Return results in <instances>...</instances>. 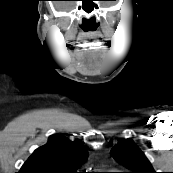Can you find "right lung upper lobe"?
Returning <instances> with one entry per match:
<instances>
[{
	"label": "right lung upper lobe",
	"instance_id": "obj_1",
	"mask_svg": "<svg viewBox=\"0 0 173 173\" xmlns=\"http://www.w3.org/2000/svg\"><path fill=\"white\" fill-rule=\"evenodd\" d=\"M87 155L83 145L54 134L46 145L33 152L18 173H77Z\"/></svg>",
	"mask_w": 173,
	"mask_h": 173
}]
</instances>
